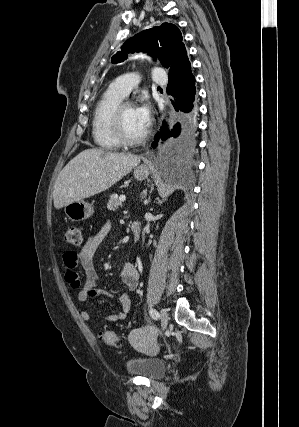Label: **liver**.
I'll use <instances>...</instances> for the list:
<instances>
[{"label": "liver", "mask_w": 299, "mask_h": 427, "mask_svg": "<svg viewBox=\"0 0 299 427\" xmlns=\"http://www.w3.org/2000/svg\"><path fill=\"white\" fill-rule=\"evenodd\" d=\"M141 157L100 149H86L60 172L54 186V207L106 191L140 163Z\"/></svg>", "instance_id": "liver-1"}]
</instances>
